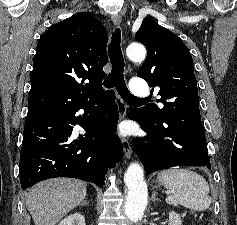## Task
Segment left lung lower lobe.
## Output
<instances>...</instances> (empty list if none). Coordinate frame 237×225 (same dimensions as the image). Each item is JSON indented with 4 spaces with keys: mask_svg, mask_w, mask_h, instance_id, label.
<instances>
[{
    "mask_svg": "<svg viewBox=\"0 0 237 225\" xmlns=\"http://www.w3.org/2000/svg\"><path fill=\"white\" fill-rule=\"evenodd\" d=\"M130 114L148 134L134 142L135 153L147 173L174 166L211 168L199 106L158 122L147 119L141 108H132Z\"/></svg>",
    "mask_w": 237,
    "mask_h": 225,
    "instance_id": "1",
    "label": "left lung lower lobe"
}]
</instances>
